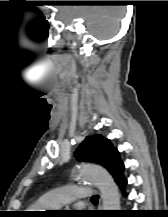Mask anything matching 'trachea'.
Returning a JSON list of instances; mask_svg holds the SVG:
<instances>
[{
	"instance_id": "3493384b",
	"label": "trachea",
	"mask_w": 168,
	"mask_h": 217,
	"mask_svg": "<svg viewBox=\"0 0 168 217\" xmlns=\"http://www.w3.org/2000/svg\"><path fill=\"white\" fill-rule=\"evenodd\" d=\"M98 199H99V196H98V195H94V196H92V198H91L92 201H98Z\"/></svg>"
}]
</instances>
